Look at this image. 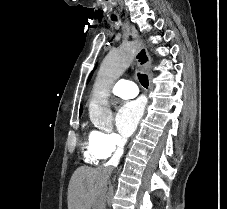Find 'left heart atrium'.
I'll return each mask as SVG.
<instances>
[{"mask_svg":"<svg viewBox=\"0 0 227 209\" xmlns=\"http://www.w3.org/2000/svg\"><path fill=\"white\" fill-rule=\"evenodd\" d=\"M144 113V103L141 100L124 101L118 110L117 126L120 133L131 136L140 122Z\"/></svg>","mask_w":227,"mask_h":209,"instance_id":"39dd6f15","label":"left heart atrium"}]
</instances>
